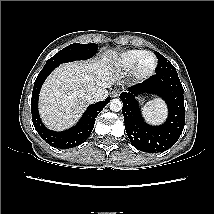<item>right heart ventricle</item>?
Listing matches in <instances>:
<instances>
[{"mask_svg": "<svg viewBox=\"0 0 214 214\" xmlns=\"http://www.w3.org/2000/svg\"><path fill=\"white\" fill-rule=\"evenodd\" d=\"M145 53L143 50H128L115 57L111 64L120 71L133 69L139 58Z\"/></svg>", "mask_w": 214, "mask_h": 214, "instance_id": "right-heart-ventricle-1", "label": "right heart ventricle"}]
</instances>
